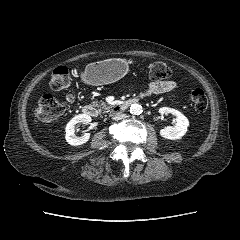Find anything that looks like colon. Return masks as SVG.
I'll use <instances>...</instances> for the list:
<instances>
[{
	"label": "colon",
	"instance_id": "5ec220e1",
	"mask_svg": "<svg viewBox=\"0 0 240 240\" xmlns=\"http://www.w3.org/2000/svg\"><path fill=\"white\" fill-rule=\"evenodd\" d=\"M170 68L162 61L153 62L149 67V77L154 81H160L170 76ZM50 86L56 91H65L62 100L56 99L51 95L44 96L36 109V114L47 119H55L65 113L69 103L73 101V96L69 91L70 76L68 69L64 66L54 69ZM190 99L197 113L202 114L208 107V101L201 88H194L190 93Z\"/></svg>",
	"mask_w": 240,
	"mask_h": 240
}]
</instances>
